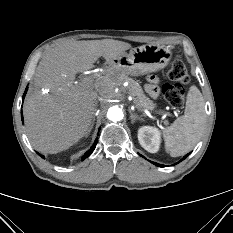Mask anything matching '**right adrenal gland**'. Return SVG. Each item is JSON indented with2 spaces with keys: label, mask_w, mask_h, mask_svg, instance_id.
I'll list each match as a JSON object with an SVG mask.
<instances>
[{
  "label": "right adrenal gland",
  "mask_w": 233,
  "mask_h": 233,
  "mask_svg": "<svg viewBox=\"0 0 233 233\" xmlns=\"http://www.w3.org/2000/svg\"><path fill=\"white\" fill-rule=\"evenodd\" d=\"M94 122H95V117H94V118H93V120H92V123H91L90 129H89V131H88V133H87V135H86V136H88V134L91 132V130H92V128H93V125H94Z\"/></svg>",
  "instance_id": "obj_1"
}]
</instances>
